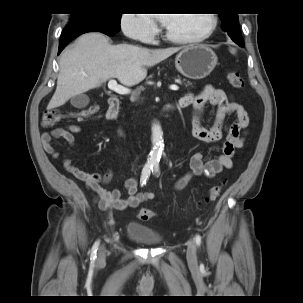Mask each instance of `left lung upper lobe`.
I'll return each instance as SVG.
<instances>
[{"label":"left lung upper lobe","mask_w":303,"mask_h":303,"mask_svg":"<svg viewBox=\"0 0 303 303\" xmlns=\"http://www.w3.org/2000/svg\"><path fill=\"white\" fill-rule=\"evenodd\" d=\"M222 28L227 31L231 39L239 46L243 45V38L239 29V19L236 13H221Z\"/></svg>","instance_id":"left-lung-upper-lobe-1"}]
</instances>
